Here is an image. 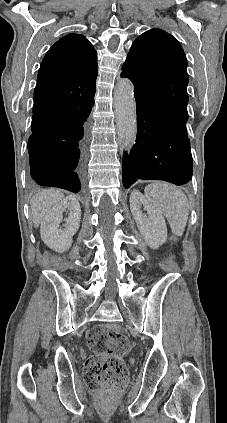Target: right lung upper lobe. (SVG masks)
I'll list each match as a JSON object with an SVG mask.
<instances>
[{
    "instance_id": "cb5924a9",
    "label": "right lung upper lobe",
    "mask_w": 227,
    "mask_h": 423,
    "mask_svg": "<svg viewBox=\"0 0 227 423\" xmlns=\"http://www.w3.org/2000/svg\"><path fill=\"white\" fill-rule=\"evenodd\" d=\"M97 54L83 36L69 34L58 40L45 55L37 78L34 99L64 101L78 96H94ZM41 128L33 126L32 134Z\"/></svg>"
}]
</instances>
